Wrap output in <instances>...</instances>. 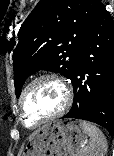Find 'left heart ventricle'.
<instances>
[{"label":"left heart ventricle","mask_w":114,"mask_h":156,"mask_svg":"<svg viewBox=\"0 0 114 156\" xmlns=\"http://www.w3.org/2000/svg\"><path fill=\"white\" fill-rule=\"evenodd\" d=\"M61 88L51 80L36 83L23 99V112L27 125L32 126L39 120L52 115L62 105Z\"/></svg>","instance_id":"obj_1"}]
</instances>
